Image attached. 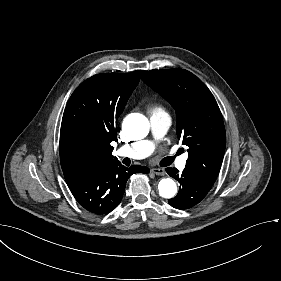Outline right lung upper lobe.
Wrapping results in <instances>:
<instances>
[{"instance_id": "1", "label": "right lung upper lobe", "mask_w": 281, "mask_h": 281, "mask_svg": "<svg viewBox=\"0 0 281 281\" xmlns=\"http://www.w3.org/2000/svg\"><path fill=\"white\" fill-rule=\"evenodd\" d=\"M140 80V71L94 75L71 95L60 130L62 170L118 162L111 142L117 141L114 124Z\"/></svg>"}]
</instances>
